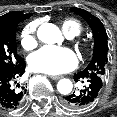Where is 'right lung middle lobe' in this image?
Listing matches in <instances>:
<instances>
[{
  "label": "right lung middle lobe",
  "mask_w": 117,
  "mask_h": 117,
  "mask_svg": "<svg viewBox=\"0 0 117 117\" xmlns=\"http://www.w3.org/2000/svg\"><path fill=\"white\" fill-rule=\"evenodd\" d=\"M21 20H14L0 25V66L11 67L23 59L17 54L15 32Z\"/></svg>",
  "instance_id": "right-lung-middle-lobe-1"
}]
</instances>
